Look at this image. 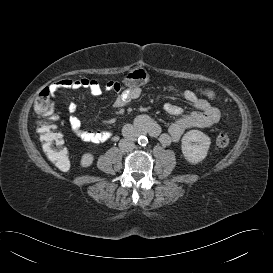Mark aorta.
Segmentation results:
<instances>
[{"label": "aorta", "instance_id": "762f6f07", "mask_svg": "<svg viewBox=\"0 0 273 273\" xmlns=\"http://www.w3.org/2000/svg\"><path fill=\"white\" fill-rule=\"evenodd\" d=\"M146 141H147V139H146V137H144V136H140V137L138 138V143H139V144L144 145V144H146Z\"/></svg>", "mask_w": 273, "mask_h": 273}]
</instances>
